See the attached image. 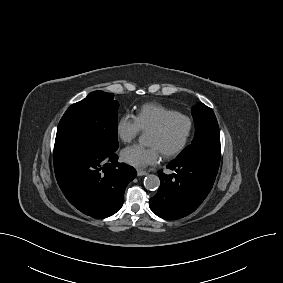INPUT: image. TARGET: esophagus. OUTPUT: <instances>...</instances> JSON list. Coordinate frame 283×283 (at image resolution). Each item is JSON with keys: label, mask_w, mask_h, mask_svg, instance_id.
Listing matches in <instances>:
<instances>
[{"label": "esophagus", "mask_w": 283, "mask_h": 283, "mask_svg": "<svg viewBox=\"0 0 283 283\" xmlns=\"http://www.w3.org/2000/svg\"><path fill=\"white\" fill-rule=\"evenodd\" d=\"M148 173L146 172V171H143V170H140V169H138L137 170V175L138 176H145V175H147Z\"/></svg>", "instance_id": "obj_1"}]
</instances>
